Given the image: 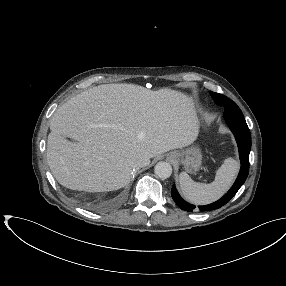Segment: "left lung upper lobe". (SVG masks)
I'll list each match as a JSON object with an SVG mask.
<instances>
[{"label": "left lung upper lobe", "mask_w": 286, "mask_h": 286, "mask_svg": "<svg viewBox=\"0 0 286 286\" xmlns=\"http://www.w3.org/2000/svg\"><path fill=\"white\" fill-rule=\"evenodd\" d=\"M209 93L211 94L213 100L215 101L217 105L224 107V110H225L224 114L228 113V114L243 115L240 108L231 99L227 98L226 96L222 94H218L212 91H210Z\"/></svg>", "instance_id": "left-lung-upper-lobe-1"}]
</instances>
